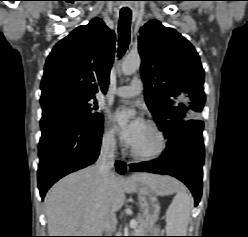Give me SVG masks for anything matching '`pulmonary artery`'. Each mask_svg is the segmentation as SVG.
I'll use <instances>...</instances> for the list:
<instances>
[{
    "mask_svg": "<svg viewBox=\"0 0 248 237\" xmlns=\"http://www.w3.org/2000/svg\"><path fill=\"white\" fill-rule=\"evenodd\" d=\"M143 84L140 79H133L127 86H122L113 91V94L122 98H131L142 92Z\"/></svg>",
    "mask_w": 248,
    "mask_h": 237,
    "instance_id": "e3ab8cb5",
    "label": "pulmonary artery"
}]
</instances>
